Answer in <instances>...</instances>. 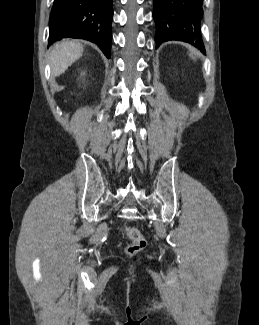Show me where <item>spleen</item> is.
Listing matches in <instances>:
<instances>
[{
  "label": "spleen",
  "instance_id": "obj_1",
  "mask_svg": "<svg viewBox=\"0 0 259 325\" xmlns=\"http://www.w3.org/2000/svg\"><path fill=\"white\" fill-rule=\"evenodd\" d=\"M190 56L193 58V55L192 54H190Z\"/></svg>",
  "mask_w": 259,
  "mask_h": 325
}]
</instances>
